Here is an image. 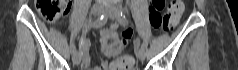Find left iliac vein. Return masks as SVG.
I'll return each instance as SVG.
<instances>
[{
    "label": "left iliac vein",
    "mask_w": 238,
    "mask_h": 70,
    "mask_svg": "<svg viewBox=\"0 0 238 70\" xmlns=\"http://www.w3.org/2000/svg\"><path fill=\"white\" fill-rule=\"evenodd\" d=\"M102 12L104 15L110 17L111 19H115L118 16V9L112 5L104 7ZM137 56L139 60L143 61L145 59V51L141 48L138 49Z\"/></svg>",
    "instance_id": "4c4485c4"
}]
</instances>
